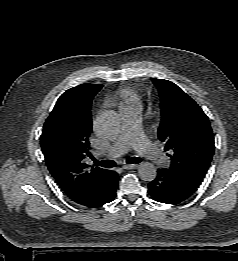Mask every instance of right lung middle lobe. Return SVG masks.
I'll use <instances>...</instances> for the list:
<instances>
[{"label":"right lung middle lobe","mask_w":238,"mask_h":261,"mask_svg":"<svg viewBox=\"0 0 238 261\" xmlns=\"http://www.w3.org/2000/svg\"><path fill=\"white\" fill-rule=\"evenodd\" d=\"M63 114L62 110H56V111H52V116L54 120H58L61 118V115Z\"/></svg>","instance_id":"obj_1"}]
</instances>
